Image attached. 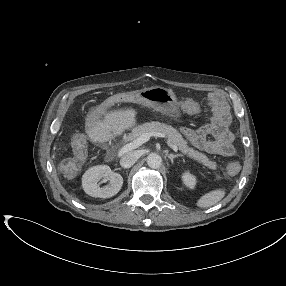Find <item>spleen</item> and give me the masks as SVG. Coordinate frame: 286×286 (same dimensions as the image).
Segmentation results:
<instances>
[{"instance_id":"3e777b00","label":"spleen","mask_w":286,"mask_h":286,"mask_svg":"<svg viewBox=\"0 0 286 286\" xmlns=\"http://www.w3.org/2000/svg\"><path fill=\"white\" fill-rule=\"evenodd\" d=\"M225 190L224 189H215L212 190L204 195H202L198 201L197 206L201 208H208L215 204H217L219 201H221L225 196Z\"/></svg>"}]
</instances>
